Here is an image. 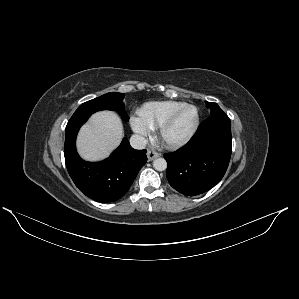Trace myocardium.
Returning <instances> with one entry per match:
<instances>
[{"label": "myocardium", "instance_id": "f54148a6", "mask_svg": "<svg viewBox=\"0 0 299 299\" xmlns=\"http://www.w3.org/2000/svg\"><path fill=\"white\" fill-rule=\"evenodd\" d=\"M187 108H194L196 110L197 116H196V121L192 128L182 137L177 138V139H170L167 136V132L170 129V127L174 124L176 121L177 117L180 115L182 111H184ZM200 110L197 106L193 104H185L182 107L178 108L174 112H172L166 120L160 125L158 133H159V138L161 142L168 147L175 148V147H180L185 145L187 142L190 141V139L194 136L196 133L199 124H200Z\"/></svg>", "mask_w": 299, "mask_h": 299}]
</instances>
